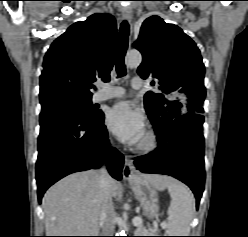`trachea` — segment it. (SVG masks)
Here are the masks:
<instances>
[{"label":"trachea","mask_w":248,"mask_h":237,"mask_svg":"<svg viewBox=\"0 0 248 237\" xmlns=\"http://www.w3.org/2000/svg\"><path fill=\"white\" fill-rule=\"evenodd\" d=\"M129 24L127 21L122 22L120 27L119 42L116 52V71L118 77L126 75L124 57L128 48Z\"/></svg>","instance_id":"trachea-1"}]
</instances>
